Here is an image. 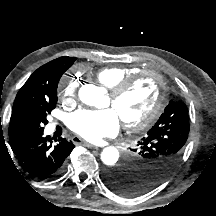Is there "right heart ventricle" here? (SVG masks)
Listing matches in <instances>:
<instances>
[{
    "label": "right heart ventricle",
    "mask_w": 216,
    "mask_h": 216,
    "mask_svg": "<svg viewBox=\"0 0 216 216\" xmlns=\"http://www.w3.org/2000/svg\"><path fill=\"white\" fill-rule=\"evenodd\" d=\"M139 71L135 66L116 65L108 66L100 69L96 73L97 81L108 89H112L119 82L124 80L130 75Z\"/></svg>",
    "instance_id": "right-heart-ventricle-1"
}]
</instances>
